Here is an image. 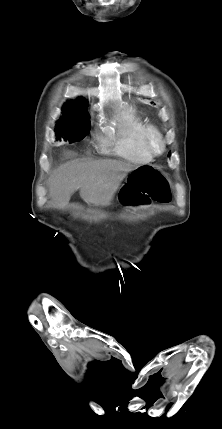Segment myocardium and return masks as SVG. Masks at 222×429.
<instances>
[{"instance_id":"1","label":"myocardium","mask_w":222,"mask_h":429,"mask_svg":"<svg viewBox=\"0 0 222 429\" xmlns=\"http://www.w3.org/2000/svg\"><path fill=\"white\" fill-rule=\"evenodd\" d=\"M154 140L159 143V148L154 146ZM143 146L151 157L161 156L166 151L163 133L155 126H148L143 136Z\"/></svg>"}]
</instances>
